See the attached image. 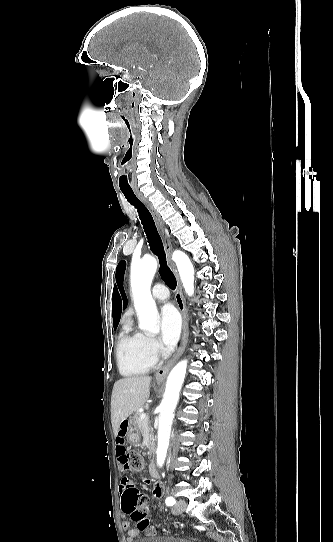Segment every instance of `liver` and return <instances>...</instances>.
<instances>
[{"mask_svg":"<svg viewBox=\"0 0 333 542\" xmlns=\"http://www.w3.org/2000/svg\"><path fill=\"white\" fill-rule=\"evenodd\" d=\"M151 376H124L115 382L111 398V424L115 438L123 420L142 408L150 396Z\"/></svg>","mask_w":333,"mask_h":542,"instance_id":"obj_1","label":"liver"}]
</instances>
